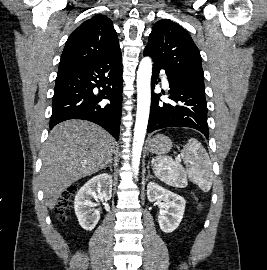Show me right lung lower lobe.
Here are the masks:
<instances>
[{"mask_svg":"<svg viewBox=\"0 0 267 270\" xmlns=\"http://www.w3.org/2000/svg\"><path fill=\"white\" fill-rule=\"evenodd\" d=\"M122 85L121 54L59 70L54 88L50 129L69 119H83L102 126L118 139ZM96 87L103 89L95 93L93 89Z\"/></svg>","mask_w":267,"mask_h":270,"instance_id":"1","label":"right lung lower lobe"}]
</instances>
